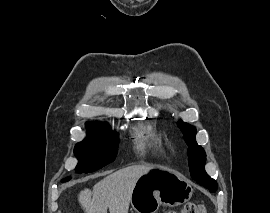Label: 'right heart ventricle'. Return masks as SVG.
<instances>
[{
	"label": "right heart ventricle",
	"mask_w": 270,
	"mask_h": 213,
	"mask_svg": "<svg viewBox=\"0 0 270 213\" xmlns=\"http://www.w3.org/2000/svg\"><path fill=\"white\" fill-rule=\"evenodd\" d=\"M147 142L146 146L149 149L154 151H161L164 146V140L161 136L151 127H149L146 131Z\"/></svg>",
	"instance_id": "right-heart-ventricle-1"
}]
</instances>
